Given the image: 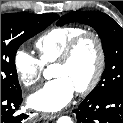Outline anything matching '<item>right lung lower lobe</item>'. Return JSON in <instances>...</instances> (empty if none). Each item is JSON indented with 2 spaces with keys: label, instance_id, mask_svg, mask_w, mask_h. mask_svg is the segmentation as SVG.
<instances>
[{
  "label": "right lung lower lobe",
  "instance_id": "obj_1",
  "mask_svg": "<svg viewBox=\"0 0 123 123\" xmlns=\"http://www.w3.org/2000/svg\"><path fill=\"white\" fill-rule=\"evenodd\" d=\"M22 103V92H1V123H23L26 114H15Z\"/></svg>",
  "mask_w": 123,
  "mask_h": 123
}]
</instances>
